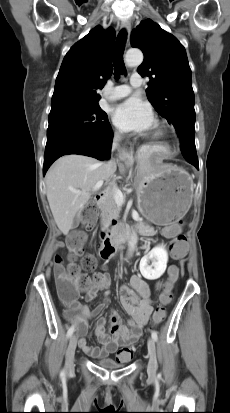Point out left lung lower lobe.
Masks as SVG:
<instances>
[{"instance_id":"left-lung-lower-lobe-1","label":"left lung lower lobe","mask_w":230,"mask_h":413,"mask_svg":"<svg viewBox=\"0 0 230 413\" xmlns=\"http://www.w3.org/2000/svg\"><path fill=\"white\" fill-rule=\"evenodd\" d=\"M180 141L182 145L185 147V149L181 150L184 158L186 159L187 162H189L190 164H192L199 170L197 153L195 151H192L191 146H190L191 143L195 144V141L193 139H190L188 135L180 136Z\"/></svg>"}]
</instances>
